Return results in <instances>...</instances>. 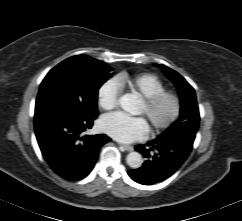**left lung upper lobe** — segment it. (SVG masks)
<instances>
[{
	"label": "left lung upper lobe",
	"instance_id": "left-lung-upper-lobe-1",
	"mask_svg": "<svg viewBox=\"0 0 242 221\" xmlns=\"http://www.w3.org/2000/svg\"><path fill=\"white\" fill-rule=\"evenodd\" d=\"M176 85L181 101V113L175 121L159 138L194 137L199 128V110L193 87L176 71L164 66L157 65Z\"/></svg>",
	"mask_w": 242,
	"mask_h": 221
}]
</instances>
